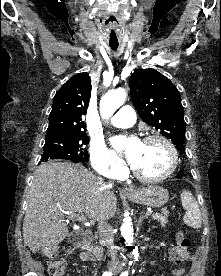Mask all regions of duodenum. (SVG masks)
I'll return each instance as SVG.
<instances>
[{"mask_svg":"<svg viewBox=\"0 0 221 276\" xmlns=\"http://www.w3.org/2000/svg\"><path fill=\"white\" fill-rule=\"evenodd\" d=\"M91 240V233L85 232L82 239L78 243L79 248H81L83 253L88 254L92 259L93 257L101 258L103 256V250L98 246L92 245Z\"/></svg>","mask_w":221,"mask_h":276,"instance_id":"1","label":"duodenum"}]
</instances>
